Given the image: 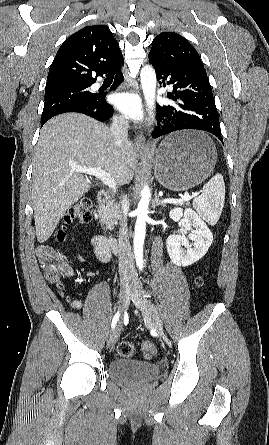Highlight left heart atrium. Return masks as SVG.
Masks as SVG:
<instances>
[{
  "mask_svg": "<svg viewBox=\"0 0 269 445\" xmlns=\"http://www.w3.org/2000/svg\"><path fill=\"white\" fill-rule=\"evenodd\" d=\"M113 102L126 117L132 119H139L141 117V105L134 95L118 93L113 97Z\"/></svg>",
  "mask_w": 269,
  "mask_h": 445,
  "instance_id": "1",
  "label": "left heart atrium"
}]
</instances>
